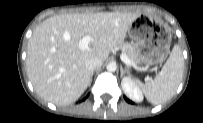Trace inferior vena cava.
Masks as SVG:
<instances>
[{"mask_svg":"<svg viewBox=\"0 0 203 123\" xmlns=\"http://www.w3.org/2000/svg\"><path fill=\"white\" fill-rule=\"evenodd\" d=\"M103 62L100 59L97 58H91L87 59L85 62L86 68L92 73L94 70L101 67Z\"/></svg>","mask_w":203,"mask_h":123,"instance_id":"obj_1","label":"inferior vena cava"}]
</instances>
